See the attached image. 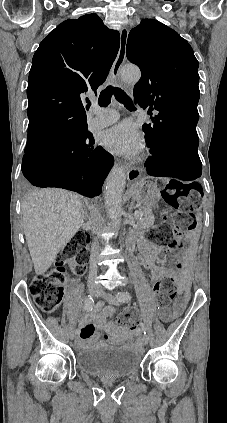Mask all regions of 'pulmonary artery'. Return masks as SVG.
Here are the masks:
<instances>
[{"mask_svg":"<svg viewBox=\"0 0 227 423\" xmlns=\"http://www.w3.org/2000/svg\"><path fill=\"white\" fill-rule=\"evenodd\" d=\"M95 117L90 120V129L100 130L118 122L119 113L114 109L93 107Z\"/></svg>","mask_w":227,"mask_h":423,"instance_id":"e3ab8cb5","label":"pulmonary artery"}]
</instances>
